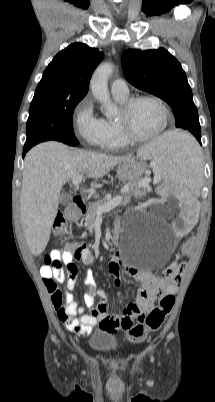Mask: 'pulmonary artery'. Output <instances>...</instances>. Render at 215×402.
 <instances>
[{"instance_id":"1","label":"pulmonary artery","mask_w":215,"mask_h":402,"mask_svg":"<svg viewBox=\"0 0 215 402\" xmlns=\"http://www.w3.org/2000/svg\"><path fill=\"white\" fill-rule=\"evenodd\" d=\"M111 92L113 95L126 96L129 94V88L125 80L116 79L111 84Z\"/></svg>"}]
</instances>
